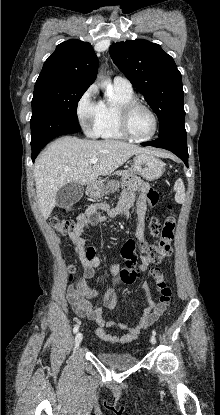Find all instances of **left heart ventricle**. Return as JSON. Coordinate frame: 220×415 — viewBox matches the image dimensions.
Masks as SVG:
<instances>
[{
	"mask_svg": "<svg viewBox=\"0 0 220 415\" xmlns=\"http://www.w3.org/2000/svg\"><path fill=\"white\" fill-rule=\"evenodd\" d=\"M128 126L135 137L144 138L153 131V119L148 111L138 107L131 112Z\"/></svg>",
	"mask_w": 220,
	"mask_h": 415,
	"instance_id": "b2bd125f",
	"label": "left heart ventricle"
}]
</instances>
